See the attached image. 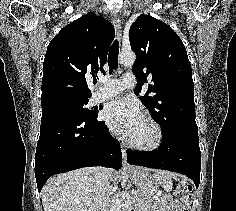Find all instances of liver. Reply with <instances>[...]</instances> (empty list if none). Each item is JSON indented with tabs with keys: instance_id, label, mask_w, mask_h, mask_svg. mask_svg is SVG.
Masks as SVG:
<instances>
[{
	"instance_id": "6515ba94",
	"label": "liver",
	"mask_w": 236,
	"mask_h": 211,
	"mask_svg": "<svg viewBox=\"0 0 236 211\" xmlns=\"http://www.w3.org/2000/svg\"><path fill=\"white\" fill-rule=\"evenodd\" d=\"M96 168H81L50 178L42 190L44 211H92ZM108 179L114 170L107 169Z\"/></svg>"
}]
</instances>
